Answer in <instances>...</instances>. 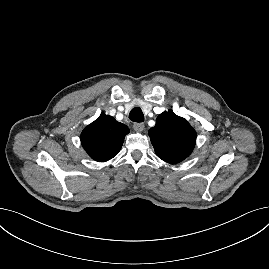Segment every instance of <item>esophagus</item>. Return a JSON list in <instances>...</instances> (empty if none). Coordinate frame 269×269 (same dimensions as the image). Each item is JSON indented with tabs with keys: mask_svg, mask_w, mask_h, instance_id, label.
Returning <instances> with one entry per match:
<instances>
[{
	"mask_svg": "<svg viewBox=\"0 0 269 269\" xmlns=\"http://www.w3.org/2000/svg\"><path fill=\"white\" fill-rule=\"evenodd\" d=\"M133 129L137 132H142L145 129V126L143 123H135Z\"/></svg>",
	"mask_w": 269,
	"mask_h": 269,
	"instance_id": "1",
	"label": "esophagus"
}]
</instances>
